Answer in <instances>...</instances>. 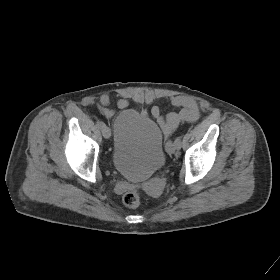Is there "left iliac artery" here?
<instances>
[{"label":"left iliac artery","instance_id":"1","mask_svg":"<svg viewBox=\"0 0 280 280\" xmlns=\"http://www.w3.org/2000/svg\"><path fill=\"white\" fill-rule=\"evenodd\" d=\"M174 143L177 145V148H179L180 145H181V139H180V137L176 138L175 141H174Z\"/></svg>","mask_w":280,"mask_h":280}]
</instances>
